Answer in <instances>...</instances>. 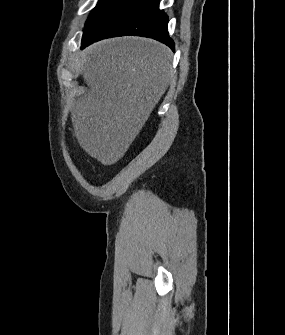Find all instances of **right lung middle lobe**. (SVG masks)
Segmentation results:
<instances>
[{"label":"right lung middle lobe","mask_w":285,"mask_h":335,"mask_svg":"<svg viewBox=\"0 0 285 335\" xmlns=\"http://www.w3.org/2000/svg\"><path fill=\"white\" fill-rule=\"evenodd\" d=\"M122 0H99L85 23L83 37L106 15H108Z\"/></svg>","instance_id":"1"}]
</instances>
